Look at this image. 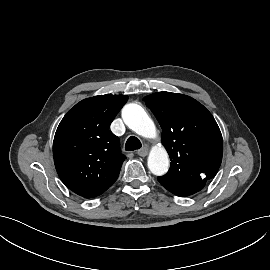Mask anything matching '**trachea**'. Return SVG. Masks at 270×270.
<instances>
[{
	"label": "trachea",
	"instance_id": "obj_1",
	"mask_svg": "<svg viewBox=\"0 0 270 270\" xmlns=\"http://www.w3.org/2000/svg\"><path fill=\"white\" fill-rule=\"evenodd\" d=\"M141 147H142V144L140 140L134 136L129 137L125 144V149L128 151L138 150Z\"/></svg>",
	"mask_w": 270,
	"mask_h": 270
}]
</instances>
